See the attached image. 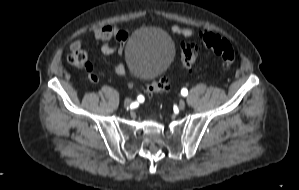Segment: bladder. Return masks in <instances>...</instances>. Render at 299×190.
Returning a JSON list of instances; mask_svg holds the SVG:
<instances>
[{
  "label": "bladder",
  "mask_w": 299,
  "mask_h": 190,
  "mask_svg": "<svg viewBox=\"0 0 299 190\" xmlns=\"http://www.w3.org/2000/svg\"><path fill=\"white\" fill-rule=\"evenodd\" d=\"M129 73L143 80H155L170 65L175 48L170 37L154 28L139 29L132 34L124 50Z\"/></svg>",
  "instance_id": "obj_1"
}]
</instances>
